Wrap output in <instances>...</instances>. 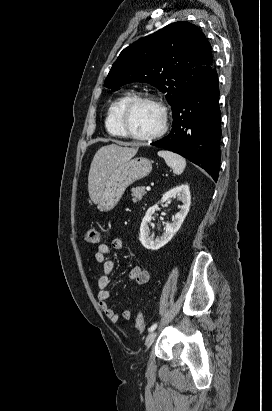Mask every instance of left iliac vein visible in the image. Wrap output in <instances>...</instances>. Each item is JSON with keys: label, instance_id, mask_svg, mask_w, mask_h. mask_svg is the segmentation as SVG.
Here are the masks:
<instances>
[{"label": "left iliac vein", "instance_id": "left-iliac-vein-1", "mask_svg": "<svg viewBox=\"0 0 272 411\" xmlns=\"http://www.w3.org/2000/svg\"><path fill=\"white\" fill-rule=\"evenodd\" d=\"M156 335H157L156 331H152L148 334V336L146 337V340H145V346L147 348H149L152 345V343L154 342V340L156 338Z\"/></svg>", "mask_w": 272, "mask_h": 411}]
</instances>
